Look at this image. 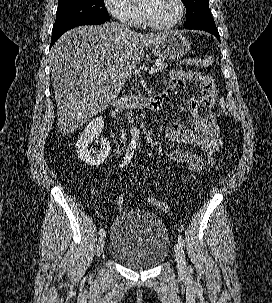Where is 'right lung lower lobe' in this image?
I'll use <instances>...</instances> for the list:
<instances>
[{"instance_id": "1", "label": "right lung lower lobe", "mask_w": 272, "mask_h": 303, "mask_svg": "<svg viewBox=\"0 0 272 303\" xmlns=\"http://www.w3.org/2000/svg\"><path fill=\"white\" fill-rule=\"evenodd\" d=\"M105 21H97V20H84V21H78L74 23L67 24L65 26H62L57 29L52 30V39H51V44L50 48L53 46V44L61 37L63 33L66 31L80 25H96V24H102Z\"/></svg>"}]
</instances>
